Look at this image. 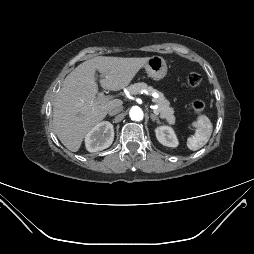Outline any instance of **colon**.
<instances>
[{"label":"colon","instance_id":"colon-1","mask_svg":"<svg viewBox=\"0 0 254 254\" xmlns=\"http://www.w3.org/2000/svg\"><path fill=\"white\" fill-rule=\"evenodd\" d=\"M201 80V75L196 72H190L187 76V83L192 87L200 85ZM192 108L196 114H200L204 110L205 104L202 100L196 99L192 103Z\"/></svg>","mask_w":254,"mask_h":254}]
</instances>
